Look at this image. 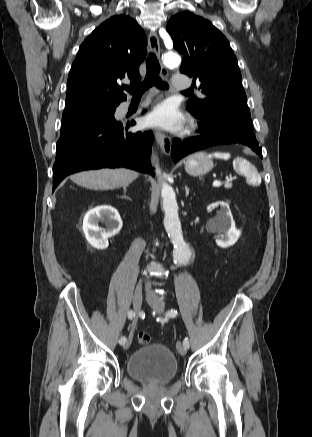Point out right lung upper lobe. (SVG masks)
<instances>
[{
  "label": "right lung upper lobe",
  "instance_id": "1",
  "mask_svg": "<svg viewBox=\"0 0 312 437\" xmlns=\"http://www.w3.org/2000/svg\"><path fill=\"white\" fill-rule=\"evenodd\" d=\"M146 44L144 31L129 16H113L97 27L84 40L72 64L66 109L118 106L126 100L120 80H140L139 65L145 58Z\"/></svg>",
  "mask_w": 312,
  "mask_h": 437
}]
</instances>
